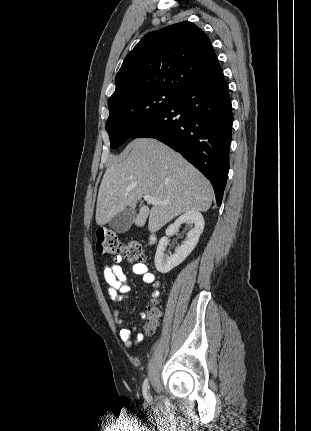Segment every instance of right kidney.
<instances>
[{
    "mask_svg": "<svg viewBox=\"0 0 311 431\" xmlns=\"http://www.w3.org/2000/svg\"><path fill=\"white\" fill-rule=\"evenodd\" d=\"M181 223H188L191 229L188 231L187 237L184 239L182 245L176 247L175 253H173V255H165L164 249L169 241L167 235H173L175 231H178V227ZM204 223V217L198 210H190V212H186V214L177 217L176 221L167 227L166 235L161 237L158 243L154 259L156 269H158L160 273H167V271H170V269H173V267H176V265H179V263H182V261L186 259L187 255L191 253L196 243H198Z\"/></svg>",
    "mask_w": 311,
    "mask_h": 431,
    "instance_id": "obj_1",
    "label": "right kidney"
}]
</instances>
